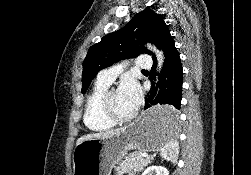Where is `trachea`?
Listing matches in <instances>:
<instances>
[{
    "label": "trachea",
    "instance_id": "obj_1",
    "mask_svg": "<svg viewBox=\"0 0 251 175\" xmlns=\"http://www.w3.org/2000/svg\"><path fill=\"white\" fill-rule=\"evenodd\" d=\"M141 72H147V70H141Z\"/></svg>",
    "mask_w": 251,
    "mask_h": 175
}]
</instances>
